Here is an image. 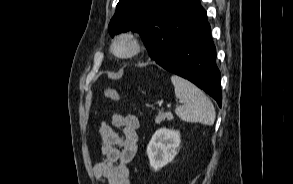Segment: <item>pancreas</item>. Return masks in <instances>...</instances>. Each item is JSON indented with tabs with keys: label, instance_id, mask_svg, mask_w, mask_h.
<instances>
[{
	"label": "pancreas",
	"instance_id": "obj_1",
	"mask_svg": "<svg viewBox=\"0 0 293 184\" xmlns=\"http://www.w3.org/2000/svg\"><path fill=\"white\" fill-rule=\"evenodd\" d=\"M174 117L171 112H159L158 115L155 117V123L160 124L165 119L172 120Z\"/></svg>",
	"mask_w": 293,
	"mask_h": 184
}]
</instances>
